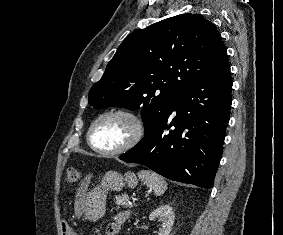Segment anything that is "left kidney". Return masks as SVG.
Segmentation results:
<instances>
[{
	"label": "left kidney",
	"mask_w": 283,
	"mask_h": 235,
	"mask_svg": "<svg viewBox=\"0 0 283 235\" xmlns=\"http://www.w3.org/2000/svg\"><path fill=\"white\" fill-rule=\"evenodd\" d=\"M158 218L162 222L159 228L158 235H169L174 223L175 215L170 205H161L152 211L149 215V220L153 221Z\"/></svg>",
	"instance_id": "obj_1"
}]
</instances>
